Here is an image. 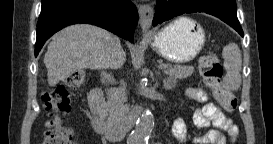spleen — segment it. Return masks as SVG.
<instances>
[{
	"mask_svg": "<svg viewBox=\"0 0 273 144\" xmlns=\"http://www.w3.org/2000/svg\"><path fill=\"white\" fill-rule=\"evenodd\" d=\"M222 57L224 58V68L226 75L223 79L224 84L231 90H237L241 85V65L242 57L241 51L237 44L230 42L222 51Z\"/></svg>",
	"mask_w": 273,
	"mask_h": 144,
	"instance_id": "obj_1",
	"label": "spleen"
}]
</instances>
